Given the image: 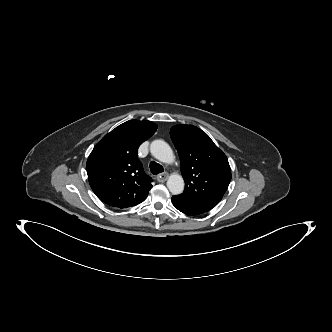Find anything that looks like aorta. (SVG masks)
Here are the masks:
<instances>
[{
    "label": "aorta",
    "mask_w": 332,
    "mask_h": 332,
    "mask_svg": "<svg viewBox=\"0 0 332 332\" xmlns=\"http://www.w3.org/2000/svg\"><path fill=\"white\" fill-rule=\"evenodd\" d=\"M150 152L159 161L171 164L175 156L171 147L163 140H154L150 145ZM184 180L181 175L173 173L169 176L167 187L173 195L181 194L184 190Z\"/></svg>",
    "instance_id": "1"
}]
</instances>
